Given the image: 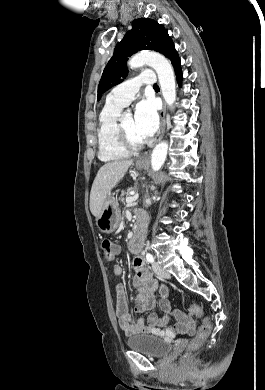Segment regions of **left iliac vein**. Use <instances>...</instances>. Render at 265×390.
Returning <instances> with one entry per match:
<instances>
[{"instance_id": "obj_1", "label": "left iliac vein", "mask_w": 265, "mask_h": 390, "mask_svg": "<svg viewBox=\"0 0 265 390\" xmlns=\"http://www.w3.org/2000/svg\"><path fill=\"white\" fill-rule=\"evenodd\" d=\"M152 269L154 271V273L159 276V277H162V278H169L170 277V274L164 270L158 263L154 262L152 264Z\"/></svg>"}]
</instances>
